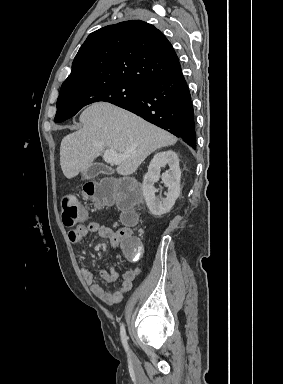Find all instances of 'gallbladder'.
Listing matches in <instances>:
<instances>
[{"label": "gallbladder", "instance_id": "bac80fb5", "mask_svg": "<svg viewBox=\"0 0 283 384\" xmlns=\"http://www.w3.org/2000/svg\"><path fill=\"white\" fill-rule=\"evenodd\" d=\"M89 170H85L84 178L99 177L100 172H103L107 168L103 165H89Z\"/></svg>", "mask_w": 283, "mask_h": 384}]
</instances>
